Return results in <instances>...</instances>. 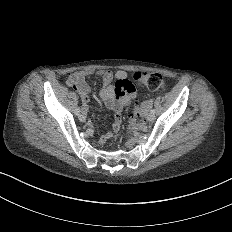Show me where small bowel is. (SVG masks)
<instances>
[{"mask_svg":"<svg viewBox=\"0 0 232 232\" xmlns=\"http://www.w3.org/2000/svg\"><path fill=\"white\" fill-rule=\"evenodd\" d=\"M94 74L98 77L101 85V97L107 105L115 110L113 121V131L107 132L99 137L98 143L104 144L112 137V132L119 131L122 124V112L128 104L130 98L135 96V90L132 82L128 77L125 69L117 71V81L112 83L111 72L108 69H97L94 71L86 69H77L70 72L66 84L75 87L82 99L81 108L79 111V119L85 121L87 119L90 108L91 86L85 81V77Z\"/></svg>","mask_w":232,"mask_h":232,"instance_id":"small-bowel-1","label":"small bowel"}]
</instances>
